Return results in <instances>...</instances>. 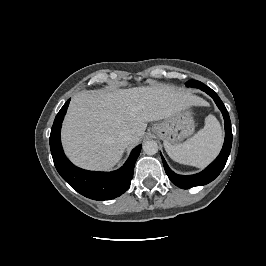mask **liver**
<instances>
[{"label":"liver","mask_w":266,"mask_h":266,"mask_svg":"<svg viewBox=\"0 0 266 266\" xmlns=\"http://www.w3.org/2000/svg\"><path fill=\"white\" fill-rule=\"evenodd\" d=\"M201 104L202 100L190 92L167 85L84 90L73 96L64 119L61 133L64 150L82 168L111 169L129 145L120 140L121 132H129L130 144H136L148 122Z\"/></svg>","instance_id":"1"}]
</instances>
